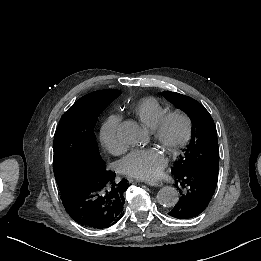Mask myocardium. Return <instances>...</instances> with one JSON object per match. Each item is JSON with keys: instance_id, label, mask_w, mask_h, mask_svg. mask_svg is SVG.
<instances>
[{"instance_id": "obj_1", "label": "myocardium", "mask_w": 261, "mask_h": 261, "mask_svg": "<svg viewBox=\"0 0 261 261\" xmlns=\"http://www.w3.org/2000/svg\"><path fill=\"white\" fill-rule=\"evenodd\" d=\"M174 120H180L183 123L184 131L178 142L166 146V152L170 159L181 155L192 142L195 126L191 116L182 110H172L160 117L155 124L146 126L151 133V138L154 141L163 143L166 139L168 126Z\"/></svg>"}]
</instances>
